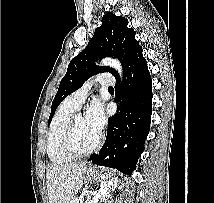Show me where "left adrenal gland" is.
Listing matches in <instances>:
<instances>
[{
  "mask_svg": "<svg viewBox=\"0 0 214 203\" xmlns=\"http://www.w3.org/2000/svg\"><path fill=\"white\" fill-rule=\"evenodd\" d=\"M114 190V189H113ZM112 198V196L110 195V191H108L104 196H103V198L101 199V201H100V203H102V202H104V203H106L105 202V200H106V198Z\"/></svg>",
  "mask_w": 214,
  "mask_h": 203,
  "instance_id": "1",
  "label": "left adrenal gland"
}]
</instances>
